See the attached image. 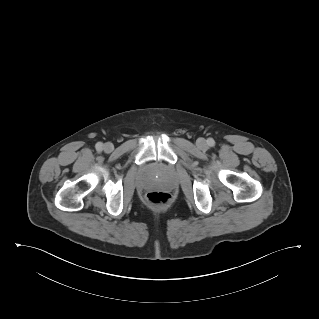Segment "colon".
<instances>
[{"label":"colon","instance_id":"obj_1","mask_svg":"<svg viewBox=\"0 0 319 319\" xmlns=\"http://www.w3.org/2000/svg\"><path fill=\"white\" fill-rule=\"evenodd\" d=\"M146 199L151 204L161 205L170 200V195L167 192L156 190L147 193Z\"/></svg>","mask_w":319,"mask_h":319}]
</instances>
